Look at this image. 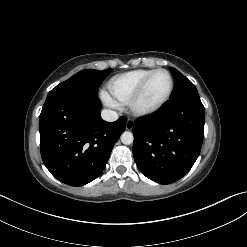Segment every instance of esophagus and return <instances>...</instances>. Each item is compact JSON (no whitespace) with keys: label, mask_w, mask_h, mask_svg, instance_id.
<instances>
[{"label":"esophagus","mask_w":247,"mask_h":247,"mask_svg":"<svg viewBox=\"0 0 247 247\" xmlns=\"http://www.w3.org/2000/svg\"><path fill=\"white\" fill-rule=\"evenodd\" d=\"M134 126V121L132 119H128L125 125L126 130H132Z\"/></svg>","instance_id":"obj_1"}]
</instances>
